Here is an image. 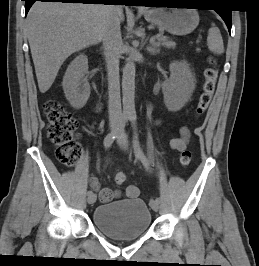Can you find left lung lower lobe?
<instances>
[{
    "mask_svg": "<svg viewBox=\"0 0 259 266\" xmlns=\"http://www.w3.org/2000/svg\"><path fill=\"white\" fill-rule=\"evenodd\" d=\"M174 3H191V0H146V4H166L168 6ZM224 22L226 23L229 32L231 31V10L229 9H216Z\"/></svg>",
    "mask_w": 259,
    "mask_h": 266,
    "instance_id": "0a47b994",
    "label": "left lung lower lobe"
}]
</instances>
